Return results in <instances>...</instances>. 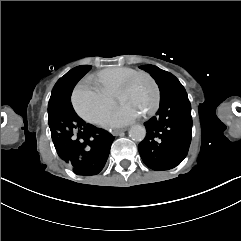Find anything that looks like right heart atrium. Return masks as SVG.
<instances>
[{
	"label": "right heart atrium",
	"instance_id": "d8ad5b80",
	"mask_svg": "<svg viewBox=\"0 0 241 241\" xmlns=\"http://www.w3.org/2000/svg\"><path fill=\"white\" fill-rule=\"evenodd\" d=\"M105 95L111 98L110 94ZM100 89L91 84L78 86L72 95V104L77 114L90 124H99L112 107V101Z\"/></svg>",
	"mask_w": 241,
	"mask_h": 241
}]
</instances>
